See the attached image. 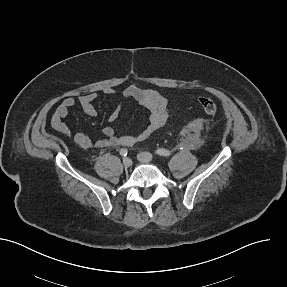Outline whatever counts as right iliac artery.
Instances as JSON below:
<instances>
[{
    "label": "right iliac artery",
    "mask_w": 287,
    "mask_h": 287,
    "mask_svg": "<svg viewBox=\"0 0 287 287\" xmlns=\"http://www.w3.org/2000/svg\"><path fill=\"white\" fill-rule=\"evenodd\" d=\"M127 154H128V150L127 149L123 148V149L120 150V155L121 156L125 157V156H127Z\"/></svg>",
    "instance_id": "82829eb1"
}]
</instances>
